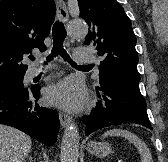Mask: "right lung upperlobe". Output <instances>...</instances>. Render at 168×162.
<instances>
[{
    "label": "right lung upper lobe",
    "instance_id": "cb5924a9",
    "mask_svg": "<svg viewBox=\"0 0 168 162\" xmlns=\"http://www.w3.org/2000/svg\"><path fill=\"white\" fill-rule=\"evenodd\" d=\"M54 17L53 0H0V76L26 72L24 54L46 50Z\"/></svg>",
    "mask_w": 168,
    "mask_h": 162
}]
</instances>
